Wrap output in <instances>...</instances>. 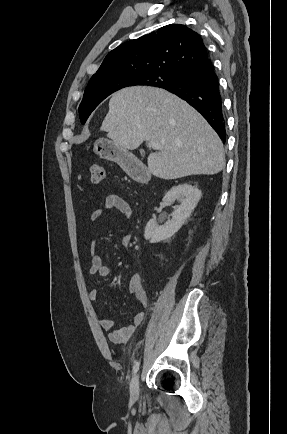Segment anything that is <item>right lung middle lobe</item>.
<instances>
[{
  "label": "right lung middle lobe",
  "instance_id": "1",
  "mask_svg": "<svg viewBox=\"0 0 287 434\" xmlns=\"http://www.w3.org/2000/svg\"><path fill=\"white\" fill-rule=\"evenodd\" d=\"M179 75L145 73L138 76H115L103 80L89 81L79 106V115L85 123L92 111L109 95L128 86L147 85L165 88L174 84Z\"/></svg>",
  "mask_w": 287,
  "mask_h": 434
}]
</instances>
